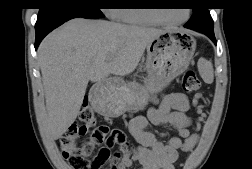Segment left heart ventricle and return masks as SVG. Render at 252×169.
<instances>
[{
  "mask_svg": "<svg viewBox=\"0 0 252 169\" xmlns=\"http://www.w3.org/2000/svg\"><path fill=\"white\" fill-rule=\"evenodd\" d=\"M159 15L167 20L178 21L184 18L185 11L184 9H171L162 11Z\"/></svg>",
  "mask_w": 252,
  "mask_h": 169,
  "instance_id": "b2bd125f",
  "label": "left heart ventricle"
}]
</instances>
